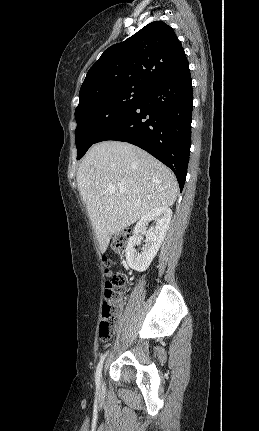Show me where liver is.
Masks as SVG:
<instances>
[{
	"mask_svg": "<svg viewBox=\"0 0 259 431\" xmlns=\"http://www.w3.org/2000/svg\"><path fill=\"white\" fill-rule=\"evenodd\" d=\"M79 192L104 253L111 237L147 212L172 206L173 172L141 148L120 141L93 145L77 171ZM120 187L126 188L121 193Z\"/></svg>",
	"mask_w": 259,
	"mask_h": 431,
	"instance_id": "6515ba94",
	"label": "liver"
}]
</instances>
